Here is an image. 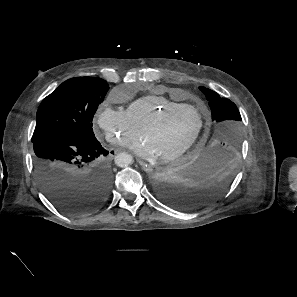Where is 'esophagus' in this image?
<instances>
[{"instance_id":"34e87169","label":"esophagus","mask_w":297,"mask_h":297,"mask_svg":"<svg viewBox=\"0 0 297 297\" xmlns=\"http://www.w3.org/2000/svg\"><path fill=\"white\" fill-rule=\"evenodd\" d=\"M139 164L141 165L142 169H143L145 172H147V173H151V172L153 171L152 167H151L149 164H147V163H145V162H143V161H139Z\"/></svg>"}]
</instances>
